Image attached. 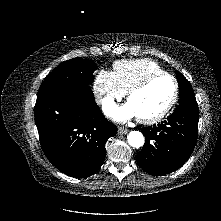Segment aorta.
<instances>
[{"mask_svg":"<svg viewBox=\"0 0 221 221\" xmlns=\"http://www.w3.org/2000/svg\"><path fill=\"white\" fill-rule=\"evenodd\" d=\"M128 143L134 148H140L144 144V136L139 131H131L127 135Z\"/></svg>","mask_w":221,"mask_h":221,"instance_id":"obj_1","label":"aorta"}]
</instances>
